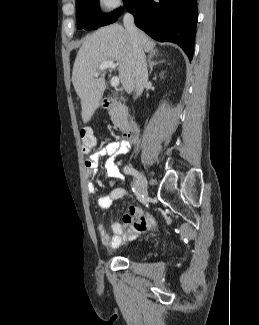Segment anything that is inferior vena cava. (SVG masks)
Masks as SVG:
<instances>
[{
	"instance_id": "602c4592",
	"label": "inferior vena cava",
	"mask_w": 259,
	"mask_h": 325,
	"mask_svg": "<svg viewBox=\"0 0 259 325\" xmlns=\"http://www.w3.org/2000/svg\"><path fill=\"white\" fill-rule=\"evenodd\" d=\"M124 27L130 35L132 41V62L135 74V92L136 96H140L148 82V71L146 56L139 39V31L134 24V17L130 13H126L123 18Z\"/></svg>"
}]
</instances>
